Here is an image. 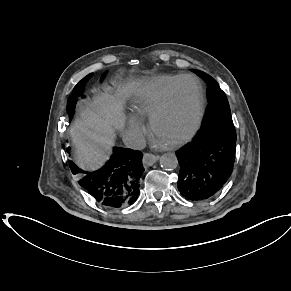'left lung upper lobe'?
Segmentation results:
<instances>
[{"label":"left lung upper lobe","mask_w":291,"mask_h":291,"mask_svg":"<svg viewBox=\"0 0 291 291\" xmlns=\"http://www.w3.org/2000/svg\"><path fill=\"white\" fill-rule=\"evenodd\" d=\"M208 85L209 106L206 111L199 135L218 136L236 141V132L225 93L219 84L208 74L193 70Z\"/></svg>","instance_id":"1"}]
</instances>
